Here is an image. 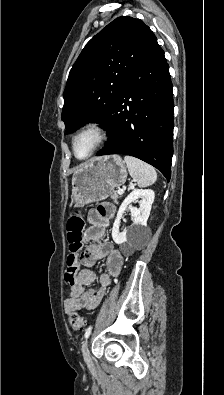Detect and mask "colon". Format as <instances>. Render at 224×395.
<instances>
[{
	"label": "colon",
	"instance_id": "1",
	"mask_svg": "<svg viewBox=\"0 0 224 395\" xmlns=\"http://www.w3.org/2000/svg\"><path fill=\"white\" fill-rule=\"evenodd\" d=\"M84 220L79 212L74 213L67 221V241L71 255L68 257L67 268L64 278L70 285L74 282L78 273V260L76 254L82 249V231ZM70 328L74 331H82L86 325V318L77 313H72L69 318Z\"/></svg>",
	"mask_w": 224,
	"mask_h": 395
}]
</instances>
